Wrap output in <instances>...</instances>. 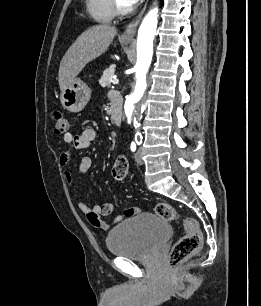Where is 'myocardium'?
Returning a JSON list of instances; mask_svg holds the SVG:
<instances>
[{
    "label": "myocardium",
    "instance_id": "1",
    "mask_svg": "<svg viewBox=\"0 0 261 306\" xmlns=\"http://www.w3.org/2000/svg\"><path fill=\"white\" fill-rule=\"evenodd\" d=\"M110 3L114 13L117 15H126L132 11L130 6H122L117 0H110Z\"/></svg>",
    "mask_w": 261,
    "mask_h": 306
}]
</instances>
